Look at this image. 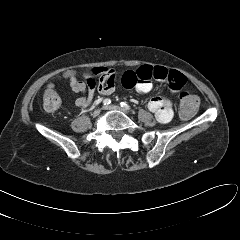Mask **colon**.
Wrapping results in <instances>:
<instances>
[{
  "label": "colon",
  "mask_w": 240,
  "mask_h": 240,
  "mask_svg": "<svg viewBox=\"0 0 240 240\" xmlns=\"http://www.w3.org/2000/svg\"><path fill=\"white\" fill-rule=\"evenodd\" d=\"M199 100L195 95L183 92L180 95V115L184 119L191 118L197 110ZM44 108L49 112L56 111L61 105V99L54 90L53 86H49L43 95Z\"/></svg>",
  "instance_id": "colon-1"
}]
</instances>
